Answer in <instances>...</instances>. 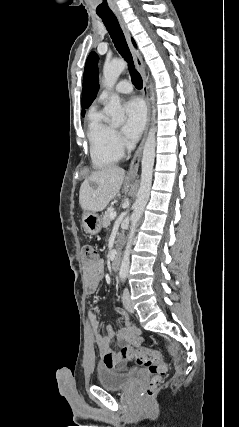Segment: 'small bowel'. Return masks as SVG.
Segmentation results:
<instances>
[{"label":"small bowel","instance_id":"small-bowel-1","mask_svg":"<svg viewBox=\"0 0 239 427\" xmlns=\"http://www.w3.org/2000/svg\"><path fill=\"white\" fill-rule=\"evenodd\" d=\"M103 272L104 262L101 259H97L95 263L84 268L86 284L90 292H95L98 289L103 278ZM118 312L124 318L128 319V315L124 309L119 308ZM91 326L94 333V340L102 357V364L108 369L119 370L124 368V357L120 353L114 352L111 348V343L114 339L120 345L127 348L137 347L142 343L140 330L129 321L116 333L111 326H107L106 333L103 334L101 332L102 323L93 313L91 316Z\"/></svg>","mask_w":239,"mask_h":427}]
</instances>
